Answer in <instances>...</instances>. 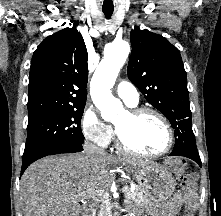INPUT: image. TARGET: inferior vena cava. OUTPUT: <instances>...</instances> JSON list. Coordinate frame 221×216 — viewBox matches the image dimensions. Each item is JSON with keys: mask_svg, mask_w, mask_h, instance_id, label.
I'll list each match as a JSON object with an SVG mask.
<instances>
[{"mask_svg": "<svg viewBox=\"0 0 221 216\" xmlns=\"http://www.w3.org/2000/svg\"><path fill=\"white\" fill-rule=\"evenodd\" d=\"M84 149L90 155H99V154L104 153V150L102 148H99V147H97V146H95L94 144H91V143H85Z\"/></svg>", "mask_w": 221, "mask_h": 216, "instance_id": "602c4592", "label": "inferior vena cava"}]
</instances>
